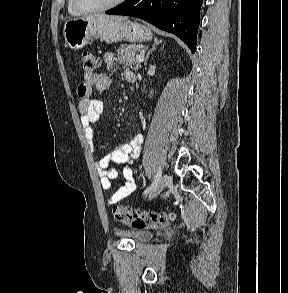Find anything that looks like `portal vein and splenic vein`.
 Returning a JSON list of instances; mask_svg holds the SVG:
<instances>
[{
  "instance_id": "1",
  "label": "portal vein and splenic vein",
  "mask_w": 288,
  "mask_h": 293,
  "mask_svg": "<svg viewBox=\"0 0 288 293\" xmlns=\"http://www.w3.org/2000/svg\"><path fill=\"white\" fill-rule=\"evenodd\" d=\"M136 60H137L138 62H142V61L144 60V54L141 53V55H137V56H136Z\"/></svg>"
}]
</instances>
